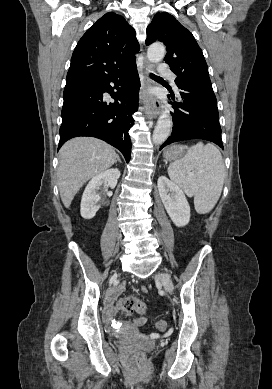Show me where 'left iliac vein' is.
I'll return each mask as SVG.
<instances>
[{
    "label": "left iliac vein",
    "mask_w": 272,
    "mask_h": 389,
    "mask_svg": "<svg viewBox=\"0 0 272 389\" xmlns=\"http://www.w3.org/2000/svg\"><path fill=\"white\" fill-rule=\"evenodd\" d=\"M156 280L162 283L164 289L167 292L172 293V291L174 289L173 283H172L170 277L167 274H165V273H158L156 275Z\"/></svg>",
    "instance_id": "left-iliac-vein-1"
}]
</instances>
